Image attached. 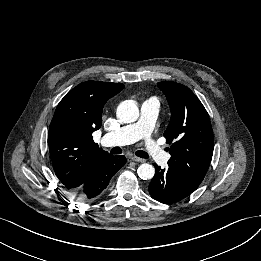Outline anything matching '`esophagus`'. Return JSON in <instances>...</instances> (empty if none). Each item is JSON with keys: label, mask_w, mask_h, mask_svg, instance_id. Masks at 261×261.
Returning a JSON list of instances; mask_svg holds the SVG:
<instances>
[{"label": "esophagus", "mask_w": 261, "mask_h": 261, "mask_svg": "<svg viewBox=\"0 0 261 261\" xmlns=\"http://www.w3.org/2000/svg\"><path fill=\"white\" fill-rule=\"evenodd\" d=\"M130 159H131V161H135V162H145L144 159L139 158L137 156H131Z\"/></svg>", "instance_id": "esophagus-1"}]
</instances>
